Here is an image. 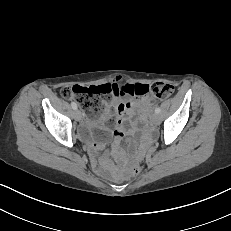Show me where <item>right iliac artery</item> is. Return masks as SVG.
Returning <instances> with one entry per match:
<instances>
[{
    "label": "right iliac artery",
    "instance_id": "right-iliac-artery-1",
    "mask_svg": "<svg viewBox=\"0 0 231 231\" xmlns=\"http://www.w3.org/2000/svg\"><path fill=\"white\" fill-rule=\"evenodd\" d=\"M71 106H72L73 109H77V104L75 102H72Z\"/></svg>",
    "mask_w": 231,
    "mask_h": 231
}]
</instances>
